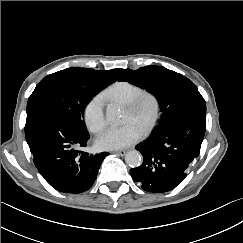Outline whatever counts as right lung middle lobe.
I'll return each mask as SVG.
<instances>
[{
  "mask_svg": "<svg viewBox=\"0 0 243 243\" xmlns=\"http://www.w3.org/2000/svg\"><path fill=\"white\" fill-rule=\"evenodd\" d=\"M110 82L87 80L69 69L46 76L29 97L27 109L35 106L53 109L64 115L81 133H88L83 120L90 99Z\"/></svg>",
  "mask_w": 243,
  "mask_h": 243,
  "instance_id": "1",
  "label": "right lung middle lobe"
}]
</instances>
